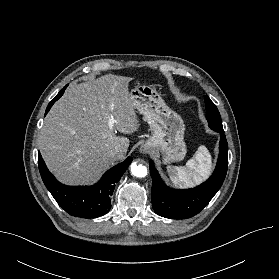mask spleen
<instances>
[{
    "label": "spleen",
    "instance_id": "obj_1",
    "mask_svg": "<svg viewBox=\"0 0 279 279\" xmlns=\"http://www.w3.org/2000/svg\"><path fill=\"white\" fill-rule=\"evenodd\" d=\"M212 167L211 155L205 146H200L186 166H168L171 181L175 185L192 186L200 178L210 174Z\"/></svg>",
    "mask_w": 279,
    "mask_h": 279
}]
</instances>
